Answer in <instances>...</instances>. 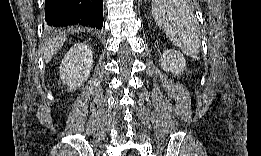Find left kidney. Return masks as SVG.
Listing matches in <instances>:
<instances>
[{
    "label": "left kidney",
    "instance_id": "left-kidney-1",
    "mask_svg": "<svg viewBox=\"0 0 261 156\" xmlns=\"http://www.w3.org/2000/svg\"><path fill=\"white\" fill-rule=\"evenodd\" d=\"M161 67L166 72L179 76L186 69L184 56L176 50L167 49L160 57Z\"/></svg>",
    "mask_w": 261,
    "mask_h": 156
}]
</instances>
